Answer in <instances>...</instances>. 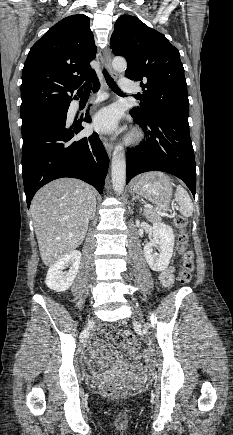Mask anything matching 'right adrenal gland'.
<instances>
[{"label": "right adrenal gland", "instance_id": "1", "mask_svg": "<svg viewBox=\"0 0 233 435\" xmlns=\"http://www.w3.org/2000/svg\"><path fill=\"white\" fill-rule=\"evenodd\" d=\"M95 212H96V207L94 208L93 214H92V218L95 217Z\"/></svg>", "mask_w": 233, "mask_h": 435}]
</instances>
